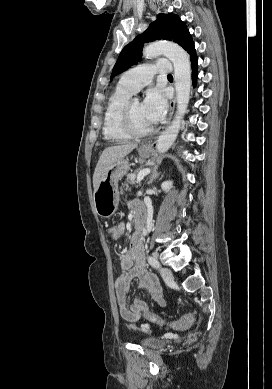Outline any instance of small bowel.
Returning a JSON list of instances; mask_svg holds the SVG:
<instances>
[{
  "label": "small bowel",
  "instance_id": "small-bowel-1",
  "mask_svg": "<svg viewBox=\"0 0 272 389\" xmlns=\"http://www.w3.org/2000/svg\"><path fill=\"white\" fill-rule=\"evenodd\" d=\"M131 209L136 214L141 212L142 206L138 202L130 203ZM120 237L124 231V224L118 226ZM121 274L115 281V292L120 315L132 326L140 319L141 314L148 310V305L136 297L131 305L127 302V293L132 279H138V289L145 290L161 306L164 305L163 291L156 276L149 272L145 265L142 238L139 234L132 237L131 247L128 252L119 257ZM147 329L146 325L141 326Z\"/></svg>",
  "mask_w": 272,
  "mask_h": 389
}]
</instances>
